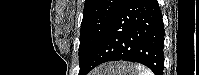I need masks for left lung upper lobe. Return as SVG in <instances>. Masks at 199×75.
<instances>
[{"mask_svg": "<svg viewBox=\"0 0 199 75\" xmlns=\"http://www.w3.org/2000/svg\"><path fill=\"white\" fill-rule=\"evenodd\" d=\"M123 0H85L79 45V75L103 40L109 24Z\"/></svg>", "mask_w": 199, "mask_h": 75, "instance_id": "5c2ea615", "label": "left lung upper lobe"}]
</instances>
